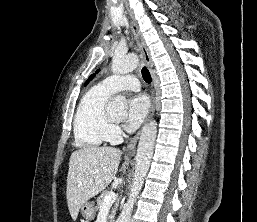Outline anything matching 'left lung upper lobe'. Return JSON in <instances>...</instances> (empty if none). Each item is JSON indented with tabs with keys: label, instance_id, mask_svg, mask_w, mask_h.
<instances>
[{
	"label": "left lung upper lobe",
	"instance_id": "1",
	"mask_svg": "<svg viewBox=\"0 0 257 222\" xmlns=\"http://www.w3.org/2000/svg\"><path fill=\"white\" fill-rule=\"evenodd\" d=\"M98 71H96V73H97ZM95 76V74H93V75H91L88 79H87V81H86V83H85V86L89 83V81L93 78Z\"/></svg>",
	"mask_w": 257,
	"mask_h": 222
}]
</instances>
